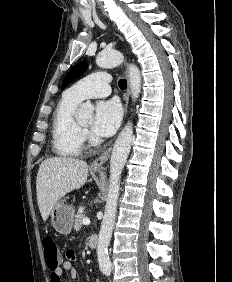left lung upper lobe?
Here are the masks:
<instances>
[{
	"label": "left lung upper lobe",
	"instance_id": "5c2ea615",
	"mask_svg": "<svg viewBox=\"0 0 232 282\" xmlns=\"http://www.w3.org/2000/svg\"><path fill=\"white\" fill-rule=\"evenodd\" d=\"M86 67H87L86 61H82L81 63L76 64L65 77L61 89L66 87L69 83H71L76 78L80 77L86 70Z\"/></svg>",
	"mask_w": 232,
	"mask_h": 282
}]
</instances>
